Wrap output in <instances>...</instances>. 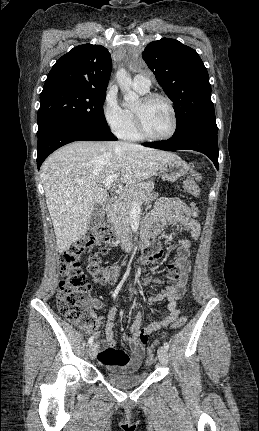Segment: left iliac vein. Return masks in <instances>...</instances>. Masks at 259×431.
<instances>
[{
  "mask_svg": "<svg viewBox=\"0 0 259 431\" xmlns=\"http://www.w3.org/2000/svg\"><path fill=\"white\" fill-rule=\"evenodd\" d=\"M157 354H158V358H159L160 363L162 365H167V363H168V353H167V350L164 347H160L158 349Z\"/></svg>",
  "mask_w": 259,
  "mask_h": 431,
  "instance_id": "left-iliac-vein-1",
  "label": "left iliac vein"
}]
</instances>
